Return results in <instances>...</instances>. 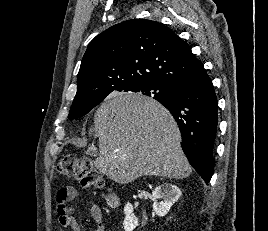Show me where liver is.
Segmentation results:
<instances>
[{
	"label": "liver",
	"instance_id": "obj_1",
	"mask_svg": "<svg viewBox=\"0 0 268 231\" xmlns=\"http://www.w3.org/2000/svg\"><path fill=\"white\" fill-rule=\"evenodd\" d=\"M99 155L95 167L109 179L127 184L142 176L183 179L192 168L170 112L141 94H114L94 116Z\"/></svg>",
	"mask_w": 268,
	"mask_h": 231
}]
</instances>
